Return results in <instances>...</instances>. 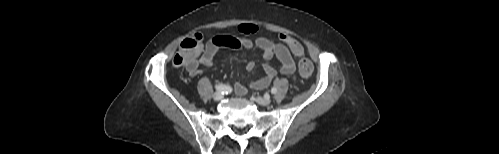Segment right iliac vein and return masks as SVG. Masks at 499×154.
I'll return each mask as SVG.
<instances>
[{
	"mask_svg": "<svg viewBox=\"0 0 499 154\" xmlns=\"http://www.w3.org/2000/svg\"><path fill=\"white\" fill-rule=\"evenodd\" d=\"M223 98V95L220 92H216L213 94V99L215 101H220Z\"/></svg>",
	"mask_w": 499,
	"mask_h": 154,
	"instance_id": "obj_1",
	"label": "right iliac vein"
}]
</instances>
